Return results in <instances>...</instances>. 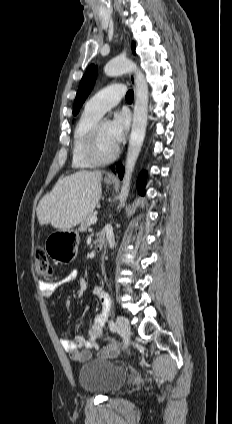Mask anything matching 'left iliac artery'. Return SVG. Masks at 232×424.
Instances as JSON below:
<instances>
[{
	"mask_svg": "<svg viewBox=\"0 0 232 424\" xmlns=\"http://www.w3.org/2000/svg\"><path fill=\"white\" fill-rule=\"evenodd\" d=\"M103 312H104V315H105V318H107L108 317V315H109V313H110V304H108L104 309H103ZM109 328H110V330L112 331V332H116V330H117V326H116V324L112 321V320H110L109 321Z\"/></svg>",
	"mask_w": 232,
	"mask_h": 424,
	"instance_id": "44dca946",
	"label": "left iliac artery"
}]
</instances>
